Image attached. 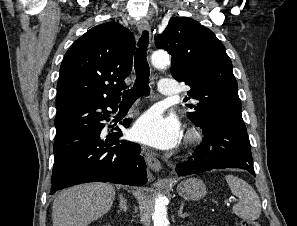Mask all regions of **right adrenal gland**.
Wrapping results in <instances>:
<instances>
[{"mask_svg": "<svg viewBox=\"0 0 297 226\" xmlns=\"http://www.w3.org/2000/svg\"><path fill=\"white\" fill-rule=\"evenodd\" d=\"M118 197H119V200H120L118 212H120L122 210L124 212H126L128 210L127 200L125 199V197H123L122 194H119Z\"/></svg>", "mask_w": 297, "mask_h": 226, "instance_id": "obj_1", "label": "right adrenal gland"}]
</instances>
